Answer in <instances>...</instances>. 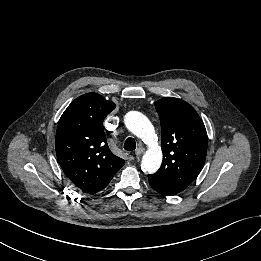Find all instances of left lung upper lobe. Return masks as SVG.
<instances>
[{"label":"left lung upper lobe","instance_id":"1","mask_svg":"<svg viewBox=\"0 0 261 261\" xmlns=\"http://www.w3.org/2000/svg\"><path fill=\"white\" fill-rule=\"evenodd\" d=\"M162 130L163 162L149 183L166 196L185 190L202 170L207 133L195 109L185 101L165 97L155 103Z\"/></svg>","mask_w":261,"mask_h":261}]
</instances>
